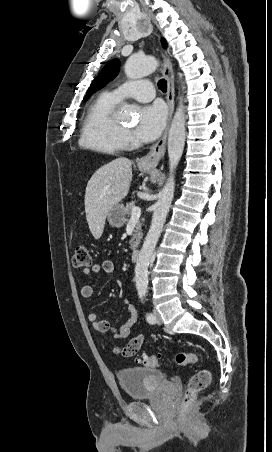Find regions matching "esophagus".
Segmentation results:
<instances>
[{
  "label": "esophagus",
  "mask_w": 272,
  "mask_h": 452,
  "mask_svg": "<svg viewBox=\"0 0 272 452\" xmlns=\"http://www.w3.org/2000/svg\"><path fill=\"white\" fill-rule=\"evenodd\" d=\"M163 75L167 80V103L169 107V116H168V125L161 136V138L151 147L150 152L143 156L139 161L138 165L140 167L145 168H154L158 165L160 159L164 156L165 149H166V140H167V134L168 129L170 125V121L174 112V97H175V91H174V76H173V69L172 64L170 60L166 57L165 54H163Z\"/></svg>",
  "instance_id": "obj_1"
}]
</instances>
